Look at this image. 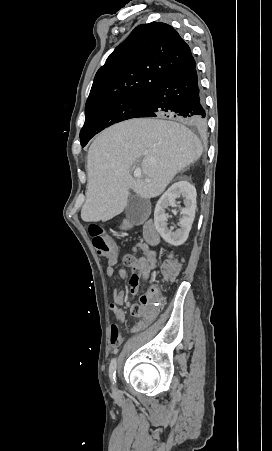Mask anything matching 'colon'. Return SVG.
Returning <instances> with one entry per match:
<instances>
[{
    "instance_id": "colon-1",
    "label": "colon",
    "mask_w": 272,
    "mask_h": 451,
    "mask_svg": "<svg viewBox=\"0 0 272 451\" xmlns=\"http://www.w3.org/2000/svg\"><path fill=\"white\" fill-rule=\"evenodd\" d=\"M90 235L92 237V243L99 255L104 256H115L116 250L118 249L117 241H107V238L103 235V230L100 227H91ZM124 263L126 266L136 269V271H149V262H137L134 256L130 254L124 255ZM108 266L113 267L116 264L115 259L110 258L107 261ZM163 275L165 278H172L174 276L175 264L173 262H165L163 264ZM150 293V292H149ZM168 302V295L164 294L163 288H154L153 292L150 294H142L141 301L139 303L133 304L132 313L141 314L145 303H151L152 305L159 306L161 303ZM149 306V305H148ZM144 322H140L136 326V330L144 326ZM121 335L120 329L117 324L113 323L110 326V343L114 347H119L121 345Z\"/></svg>"
}]
</instances>
